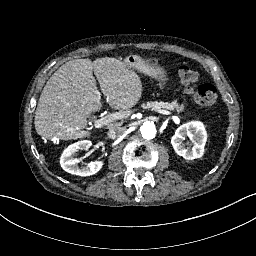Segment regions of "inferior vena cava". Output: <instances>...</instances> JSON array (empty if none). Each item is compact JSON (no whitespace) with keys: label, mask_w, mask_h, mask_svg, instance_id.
<instances>
[{"label":"inferior vena cava","mask_w":256,"mask_h":256,"mask_svg":"<svg viewBox=\"0 0 256 256\" xmlns=\"http://www.w3.org/2000/svg\"><path fill=\"white\" fill-rule=\"evenodd\" d=\"M126 131H127L126 127H121V126L114 127L109 129L108 137L111 139H115L124 135Z\"/></svg>","instance_id":"obj_1"}]
</instances>
